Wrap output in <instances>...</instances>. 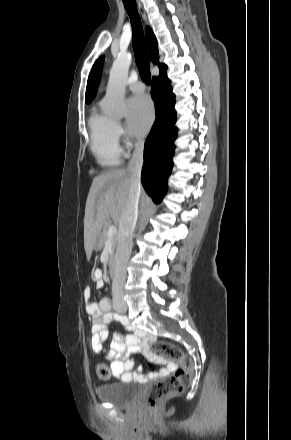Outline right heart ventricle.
Listing matches in <instances>:
<instances>
[{
    "instance_id": "e07e8e85",
    "label": "right heart ventricle",
    "mask_w": 291,
    "mask_h": 440,
    "mask_svg": "<svg viewBox=\"0 0 291 440\" xmlns=\"http://www.w3.org/2000/svg\"><path fill=\"white\" fill-rule=\"evenodd\" d=\"M88 124L90 147L97 163L103 167L120 165L122 151L115 134L116 122L94 108Z\"/></svg>"
}]
</instances>
